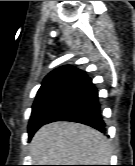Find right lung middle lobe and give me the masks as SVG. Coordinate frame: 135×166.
Returning <instances> with one entry per match:
<instances>
[{"label":"right lung middle lobe","instance_id":"dd1d6c3e","mask_svg":"<svg viewBox=\"0 0 135 166\" xmlns=\"http://www.w3.org/2000/svg\"><path fill=\"white\" fill-rule=\"evenodd\" d=\"M71 100L72 95L67 87L51 92L36 100L32 106L28 125L29 139L42 125L52 122L66 111Z\"/></svg>","mask_w":135,"mask_h":166}]
</instances>
